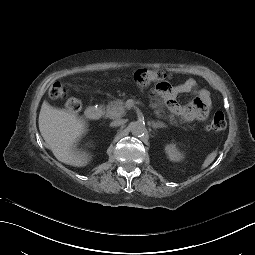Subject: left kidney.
Segmentation results:
<instances>
[{
	"label": "left kidney",
	"mask_w": 255,
	"mask_h": 255,
	"mask_svg": "<svg viewBox=\"0 0 255 255\" xmlns=\"http://www.w3.org/2000/svg\"><path fill=\"white\" fill-rule=\"evenodd\" d=\"M165 150L171 161L179 160L180 154L178 153V151L175 149L173 145L166 146Z\"/></svg>",
	"instance_id": "5707ae66"
}]
</instances>
